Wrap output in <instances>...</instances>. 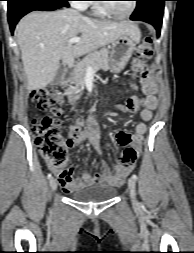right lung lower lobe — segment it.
I'll return each instance as SVG.
<instances>
[{
  "label": "right lung lower lobe",
  "instance_id": "obj_1",
  "mask_svg": "<svg viewBox=\"0 0 194 253\" xmlns=\"http://www.w3.org/2000/svg\"><path fill=\"white\" fill-rule=\"evenodd\" d=\"M8 21L13 34L17 22L27 13L34 10L52 11L68 6V0H7Z\"/></svg>",
  "mask_w": 194,
  "mask_h": 253
}]
</instances>
